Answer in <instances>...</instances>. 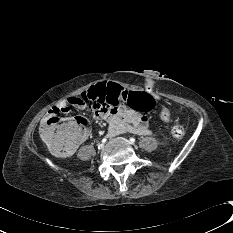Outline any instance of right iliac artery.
Masks as SVG:
<instances>
[{"instance_id": "82829eb1", "label": "right iliac artery", "mask_w": 233, "mask_h": 233, "mask_svg": "<svg viewBox=\"0 0 233 233\" xmlns=\"http://www.w3.org/2000/svg\"><path fill=\"white\" fill-rule=\"evenodd\" d=\"M106 141H107V139H106V138H103V139H102V142H103V143H105Z\"/></svg>"}]
</instances>
